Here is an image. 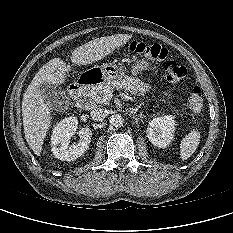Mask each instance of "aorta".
<instances>
[{
	"instance_id": "1",
	"label": "aorta",
	"mask_w": 233,
	"mask_h": 233,
	"mask_svg": "<svg viewBox=\"0 0 233 233\" xmlns=\"http://www.w3.org/2000/svg\"><path fill=\"white\" fill-rule=\"evenodd\" d=\"M124 123V118L120 114H114L109 118V124L112 127H121Z\"/></svg>"
}]
</instances>
